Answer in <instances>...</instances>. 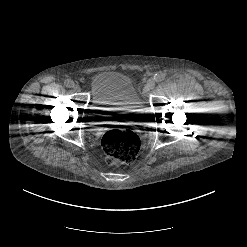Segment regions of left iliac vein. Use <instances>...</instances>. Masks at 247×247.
Returning <instances> with one entry per match:
<instances>
[{
	"label": "left iliac vein",
	"instance_id": "1",
	"mask_svg": "<svg viewBox=\"0 0 247 247\" xmlns=\"http://www.w3.org/2000/svg\"><path fill=\"white\" fill-rule=\"evenodd\" d=\"M155 87V81L154 80H149L147 82V84L145 85V91L148 92L150 91L151 89H153Z\"/></svg>",
	"mask_w": 247,
	"mask_h": 247
}]
</instances>
